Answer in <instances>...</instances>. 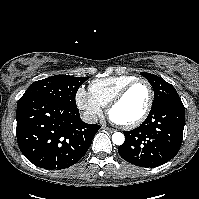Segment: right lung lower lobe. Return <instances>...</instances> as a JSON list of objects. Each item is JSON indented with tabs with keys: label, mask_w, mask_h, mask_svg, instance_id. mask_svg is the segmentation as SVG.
<instances>
[{
	"label": "right lung lower lobe",
	"mask_w": 199,
	"mask_h": 199,
	"mask_svg": "<svg viewBox=\"0 0 199 199\" xmlns=\"http://www.w3.org/2000/svg\"><path fill=\"white\" fill-rule=\"evenodd\" d=\"M17 141L23 155L44 169H64L89 149L99 125L83 122L76 107L45 98L17 104Z\"/></svg>",
	"instance_id": "98d812e1"
}]
</instances>
